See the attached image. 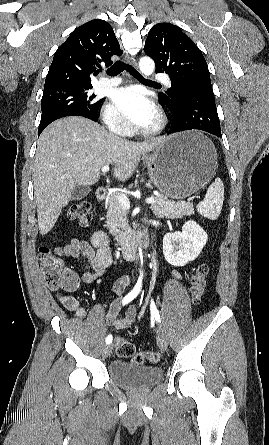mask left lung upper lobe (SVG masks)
<instances>
[{"label":"left lung upper lobe","instance_id":"left-lung-upper-lobe-1","mask_svg":"<svg viewBox=\"0 0 269 445\" xmlns=\"http://www.w3.org/2000/svg\"><path fill=\"white\" fill-rule=\"evenodd\" d=\"M144 51L156 65V72L170 76L171 89L160 93L173 101L181 90L193 86L212 87L207 63L195 43L170 23L154 25L145 41Z\"/></svg>","mask_w":269,"mask_h":445}]
</instances>
